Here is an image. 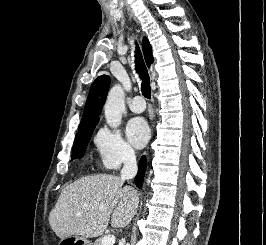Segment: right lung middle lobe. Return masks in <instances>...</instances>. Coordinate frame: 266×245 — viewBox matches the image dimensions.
<instances>
[{"label": "right lung middle lobe", "mask_w": 266, "mask_h": 245, "mask_svg": "<svg viewBox=\"0 0 266 245\" xmlns=\"http://www.w3.org/2000/svg\"><path fill=\"white\" fill-rule=\"evenodd\" d=\"M99 120L80 125L74 141L72 159L83 157L87 144Z\"/></svg>", "instance_id": "dd1d6c3e"}]
</instances>
